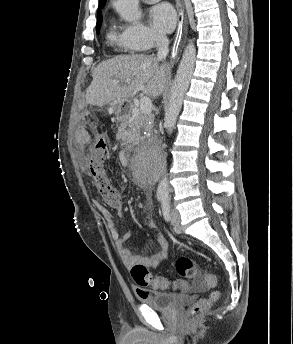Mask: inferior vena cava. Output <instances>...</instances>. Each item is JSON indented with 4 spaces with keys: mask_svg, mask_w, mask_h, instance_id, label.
<instances>
[{
    "mask_svg": "<svg viewBox=\"0 0 293 344\" xmlns=\"http://www.w3.org/2000/svg\"><path fill=\"white\" fill-rule=\"evenodd\" d=\"M156 47H157V57L163 59L167 56L169 52V39L163 34L155 35Z\"/></svg>",
    "mask_w": 293,
    "mask_h": 344,
    "instance_id": "inferior-vena-cava-1",
    "label": "inferior vena cava"
}]
</instances>
